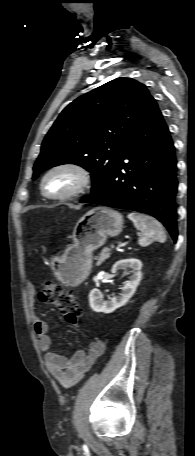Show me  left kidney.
I'll return each mask as SVG.
<instances>
[{"label": "left kidney", "mask_w": 195, "mask_h": 456, "mask_svg": "<svg viewBox=\"0 0 195 456\" xmlns=\"http://www.w3.org/2000/svg\"><path fill=\"white\" fill-rule=\"evenodd\" d=\"M127 268L131 269L132 275L129 281L121 288L122 292L119 296L111 298L110 301H104L99 289L91 290L89 293V304L93 311L106 314L112 313L124 306L133 296L142 278V262L135 258L120 260L113 265L111 272L115 274L118 270Z\"/></svg>", "instance_id": "obj_1"}]
</instances>
